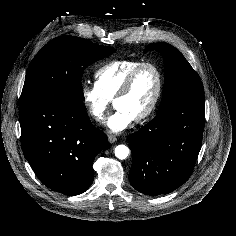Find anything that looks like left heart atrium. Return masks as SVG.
Returning <instances> with one entry per match:
<instances>
[{
	"mask_svg": "<svg viewBox=\"0 0 236 236\" xmlns=\"http://www.w3.org/2000/svg\"><path fill=\"white\" fill-rule=\"evenodd\" d=\"M134 118L122 108H116L106 122L107 128L113 133H120L127 129Z\"/></svg>",
	"mask_w": 236,
	"mask_h": 236,
	"instance_id": "39dd6f15",
	"label": "left heart atrium"
}]
</instances>
